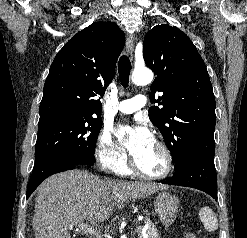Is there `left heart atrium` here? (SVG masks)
<instances>
[{
    "label": "left heart atrium",
    "mask_w": 247,
    "mask_h": 238,
    "mask_svg": "<svg viewBox=\"0 0 247 238\" xmlns=\"http://www.w3.org/2000/svg\"><path fill=\"white\" fill-rule=\"evenodd\" d=\"M118 137L133 157L154 142L151 132L141 122L136 123L130 129L119 130Z\"/></svg>",
    "instance_id": "1"
}]
</instances>
